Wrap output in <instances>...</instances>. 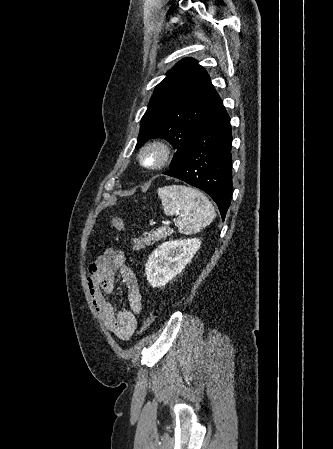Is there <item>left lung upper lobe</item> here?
I'll return each mask as SVG.
<instances>
[{"mask_svg": "<svg viewBox=\"0 0 333 449\" xmlns=\"http://www.w3.org/2000/svg\"><path fill=\"white\" fill-rule=\"evenodd\" d=\"M166 75L142 117L136 147L155 137L168 140L176 149L170 168H177L219 95L195 59H182Z\"/></svg>", "mask_w": 333, "mask_h": 449, "instance_id": "obj_1", "label": "left lung upper lobe"}]
</instances>
